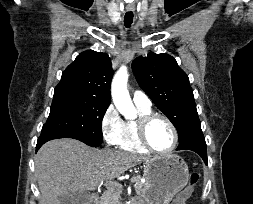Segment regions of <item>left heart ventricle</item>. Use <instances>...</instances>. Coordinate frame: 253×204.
<instances>
[{"label":"left heart ventricle","mask_w":253,"mask_h":204,"mask_svg":"<svg viewBox=\"0 0 253 204\" xmlns=\"http://www.w3.org/2000/svg\"><path fill=\"white\" fill-rule=\"evenodd\" d=\"M147 135L151 145L157 150H167L173 143L172 131L162 119H156L150 124Z\"/></svg>","instance_id":"left-heart-ventricle-1"}]
</instances>
